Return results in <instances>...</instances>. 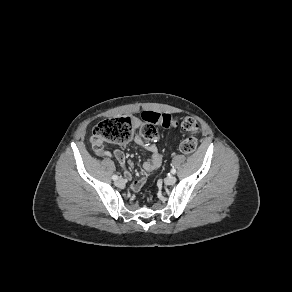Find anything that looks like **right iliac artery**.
Here are the masks:
<instances>
[{
  "label": "right iliac artery",
  "mask_w": 292,
  "mask_h": 292,
  "mask_svg": "<svg viewBox=\"0 0 292 292\" xmlns=\"http://www.w3.org/2000/svg\"><path fill=\"white\" fill-rule=\"evenodd\" d=\"M112 179H113V180H117V179H118V176H117V175H113V176H112Z\"/></svg>",
  "instance_id": "1"
}]
</instances>
